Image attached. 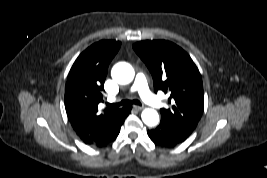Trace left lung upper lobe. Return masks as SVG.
I'll list each match as a JSON object with an SVG mask.
<instances>
[{
	"mask_svg": "<svg viewBox=\"0 0 267 178\" xmlns=\"http://www.w3.org/2000/svg\"><path fill=\"white\" fill-rule=\"evenodd\" d=\"M133 49L150 70L155 92L170 93L171 106L160 110L161 123L189 137L204 108L203 84L195 63L182 48L165 40L140 41Z\"/></svg>",
	"mask_w": 267,
	"mask_h": 178,
	"instance_id": "5c2ea615",
	"label": "left lung upper lobe"
}]
</instances>
